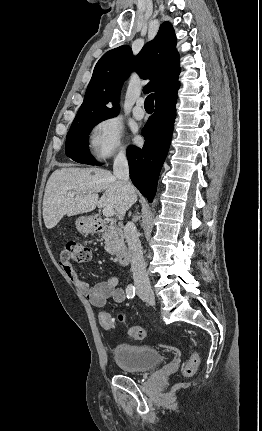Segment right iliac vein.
<instances>
[{
  "label": "right iliac vein",
  "mask_w": 262,
  "mask_h": 431,
  "mask_svg": "<svg viewBox=\"0 0 262 431\" xmlns=\"http://www.w3.org/2000/svg\"><path fill=\"white\" fill-rule=\"evenodd\" d=\"M139 296L150 304H155V296L152 291H139Z\"/></svg>",
  "instance_id": "right-iliac-vein-1"
}]
</instances>
